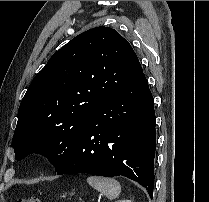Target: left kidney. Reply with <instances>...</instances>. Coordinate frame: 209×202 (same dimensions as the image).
I'll return each instance as SVG.
<instances>
[{
    "instance_id": "5707ae66",
    "label": "left kidney",
    "mask_w": 209,
    "mask_h": 202,
    "mask_svg": "<svg viewBox=\"0 0 209 202\" xmlns=\"http://www.w3.org/2000/svg\"><path fill=\"white\" fill-rule=\"evenodd\" d=\"M116 202H132L131 200H127V199H122V200H118Z\"/></svg>"
}]
</instances>
